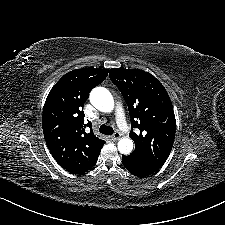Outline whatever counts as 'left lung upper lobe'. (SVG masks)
<instances>
[{"instance_id": "obj_1", "label": "left lung upper lobe", "mask_w": 225, "mask_h": 225, "mask_svg": "<svg viewBox=\"0 0 225 225\" xmlns=\"http://www.w3.org/2000/svg\"><path fill=\"white\" fill-rule=\"evenodd\" d=\"M111 81L121 91L129 109L130 132L135 142L132 156L141 162L161 167L167 160L175 138L176 120L169 95L150 73L140 69L112 68Z\"/></svg>"}]
</instances>
